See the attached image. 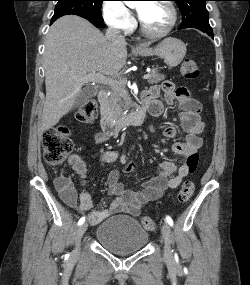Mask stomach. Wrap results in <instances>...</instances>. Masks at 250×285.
Instances as JSON below:
<instances>
[{"label":"stomach","instance_id":"obj_1","mask_svg":"<svg viewBox=\"0 0 250 285\" xmlns=\"http://www.w3.org/2000/svg\"><path fill=\"white\" fill-rule=\"evenodd\" d=\"M140 56H159L164 59L166 65L171 69L178 66L186 55V45L179 39L168 37L160 42L155 48L144 46L136 50Z\"/></svg>","mask_w":250,"mask_h":285}]
</instances>
